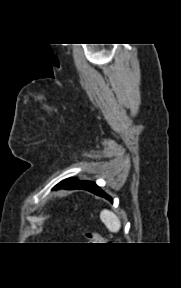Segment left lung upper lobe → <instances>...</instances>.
<instances>
[{"label": "left lung upper lobe", "mask_w": 181, "mask_h": 288, "mask_svg": "<svg viewBox=\"0 0 181 288\" xmlns=\"http://www.w3.org/2000/svg\"><path fill=\"white\" fill-rule=\"evenodd\" d=\"M78 182H80V181H77V180H75V179L68 178V179H65V180L61 181L59 184H60V185H67V186H69V185H72V184H76V183H78Z\"/></svg>", "instance_id": "1"}]
</instances>
